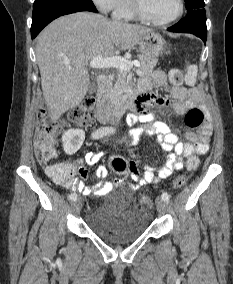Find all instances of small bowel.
I'll return each mask as SVG.
<instances>
[{
	"label": "small bowel",
	"mask_w": 233,
	"mask_h": 284,
	"mask_svg": "<svg viewBox=\"0 0 233 284\" xmlns=\"http://www.w3.org/2000/svg\"><path fill=\"white\" fill-rule=\"evenodd\" d=\"M166 85V74L161 70L153 72L151 78L142 80L139 90L143 94L139 97L132 113L128 116L130 124H143L147 134L158 135L162 149L169 152L167 161L159 168L157 174H155V168L151 165H146L141 170L137 161L132 160L129 162L128 171L125 175H128L140 187L149 183H157L160 179L169 176L174 170L182 169L186 158L204 155L209 149L212 134V126L209 121L204 122L197 132H188L186 134L187 142H181L167 125L153 120V115L149 111L152 106H172L176 114L182 115L190 108L202 105L204 101L202 93L196 88L172 87L170 90L171 98L157 96L150 92L153 86L165 87ZM138 135V129L132 131L133 138ZM102 157L103 152L101 151H89L82 159L75 162L48 165L45 167V172L57 184L86 195L107 192L112 188V183L106 182L93 186L85 184L89 173L84 164L94 165ZM95 176L99 179H105L108 176V169L99 166L95 171Z\"/></svg>",
	"instance_id": "obj_1"
}]
</instances>
